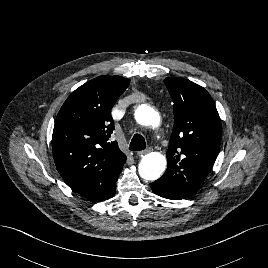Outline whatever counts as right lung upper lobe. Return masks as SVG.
<instances>
[{
	"label": "right lung upper lobe",
	"mask_w": 268,
	"mask_h": 268,
	"mask_svg": "<svg viewBox=\"0 0 268 268\" xmlns=\"http://www.w3.org/2000/svg\"><path fill=\"white\" fill-rule=\"evenodd\" d=\"M120 76H100L77 88L61 107L53 130L56 168L76 193L95 202L108 197L126 162L116 141L111 109L129 86Z\"/></svg>",
	"instance_id": "1"
}]
</instances>
